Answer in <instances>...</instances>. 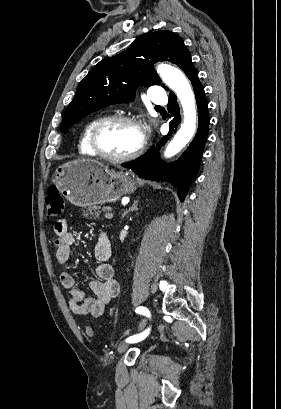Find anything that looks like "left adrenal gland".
<instances>
[{
  "label": "left adrenal gland",
  "mask_w": 281,
  "mask_h": 409,
  "mask_svg": "<svg viewBox=\"0 0 281 409\" xmlns=\"http://www.w3.org/2000/svg\"><path fill=\"white\" fill-rule=\"evenodd\" d=\"M138 202L139 200H134L132 207H129L128 211H124L123 215H121L122 219L123 217H126L127 213H130V211H138Z\"/></svg>",
  "instance_id": "left-adrenal-gland-1"
}]
</instances>
